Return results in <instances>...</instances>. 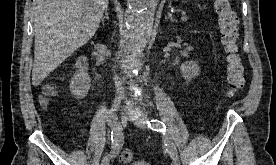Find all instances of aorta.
I'll return each instance as SVG.
<instances>
[{
	"label": "aorta",
	"instance_id": "1",
	"mask_svg": "<svg viewBox=\"0 0 276 165\" xmlns=\"http://www.w3.org/2000/svg\"><path fill=\"white\" fill-rule=\"evenodd\" d=\"M158 2L159 0H128L125 18L126 40L123 43V65L130 72L139 68L137 56L152 35Z\"/></svg>",
	"mask_w": 276,
	"mask_h": 165
}]
</instances>
